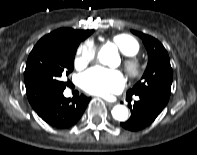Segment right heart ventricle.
Listing matches in <instances>:
<instances>
[{"instance_id": "e07e8e85", "label": "right heart ventricle", "mask_w": 197, "mask_h": 155, "mask_svg": "<svg viewBox=\"0 0 197 155\" xmlns=\"http://www.w3.org/2000/svg\"><path fill=\"white\" fill-rule=\"evenodd\" d=\"M112 42L126 56H135L140 50L139 42L128 34L115 35Z\"/></svg>"}]
</instances>
